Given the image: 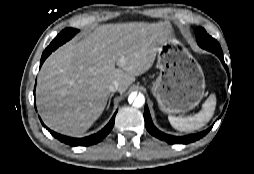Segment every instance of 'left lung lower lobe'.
<instances>
[{"mask_svg":"<svg viewBox=\"0 0 254 174\" xmlns=\"http://www.w3.org/2000/svg\"><path fill=\"white\" fill-rule=\"evenodd\" d=\"M216 55L220 58L223 66L225 67V69L228 72V68H227V66L224 62L223 54L222 53H216ZM144 119H145V126H146V129L148 130V132L150 134H152L153 136L168 142L169 144H187V143H190V142H194L196 140H199L203 136H205L210 131V129L212 128V127H210L207 130H205L203 132H200L198 134L187 135V136H182V137H176V136L168 135V134H165V133L159 131L153 125V122L151 120V116H150V113H149V110H148L147 106H145Z\"/></svg>","mask_w":254,"mask_h":174,"instance_id":"1","label":"left lung lower lobe"}]
</instances>
